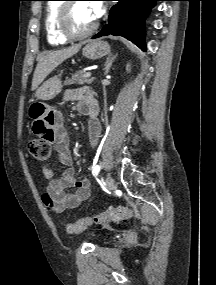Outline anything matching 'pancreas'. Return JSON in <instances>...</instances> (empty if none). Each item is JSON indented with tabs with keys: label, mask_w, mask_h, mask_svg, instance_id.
Instances as JSON below:
<instances>
[{
	"label": "pancreas",
	"mask_w": 216,
	"mask_h": 285,
	"mask_svg": "<svg viewBox=\"0 0 216 285\" xmlns=\"http://www.w3.org/2000/svg\"><path fill=\"white\" fill-rule=\"evenodd\" d=\"M84 75H85L84 71H78L74 73L72 77L66 81V85H72V84L83 85L85 83L90 84L94 81V78H85Z\"/></svg>",
	"instance_id": "1"
}]
</instances>
